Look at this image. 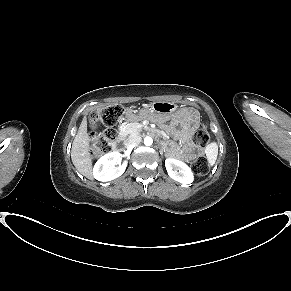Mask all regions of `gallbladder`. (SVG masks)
Instances as JSON below:
<instances>
[{
	"label": "gallbladder",
	"mask_w": 291,
	"mask_h": 291,
	"mask_svg": "<svg viewBox=\"0 0 291 291\" xmlns=\"http://www.w3.org/2000/svg\"><path fill=\"white\" fill-rule=\"evenodd\" d=\"M90 127L94 130L97 128V122L94 119L90 120Z\"/></svg>",
	"instance_id": "1"
}]
</instances>
